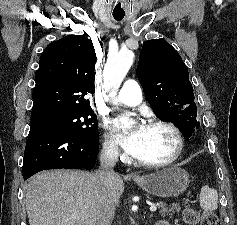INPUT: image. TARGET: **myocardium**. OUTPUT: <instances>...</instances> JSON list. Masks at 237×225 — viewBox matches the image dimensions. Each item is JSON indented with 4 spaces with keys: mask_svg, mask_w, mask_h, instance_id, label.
I'll use <instances>...</instances> for the list:
<instances>
[{
    "mask_svg": "<svg viewBox=\"0 0 237 225\" xmlns=\"http://www.w3.org/2000/svg\"><path fill=\"white\" fill-rule=\"evenodd\" d=\"M146 126L148 127H162L165 128L167 130H169L175 139V149L173 151V153L166 159L161 160V161H145V160H141L139 158H136V161L145 167H150V168H161V167H165L168 166L170 164H172L173 162H175L179 156L181 155L183 149H184V139L182 136L181 131L179 130V128L177 126H175L173 123L165 121V120H161V119H153L150 120Z\"/></svg>",
    "mask_w": 237,
    "mask_h": 225,
    "instance_id": "obj_1",
    "label": "myocardium"
}]
</instances>
